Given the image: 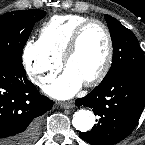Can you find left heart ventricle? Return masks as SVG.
Masks as SVG:
<instances>
[{
    "mask_svg": "<svg viewBox=\"0 0 145 145\" xmlns=\"http://www.w3.org/2000/svg\"><path fill=\"white\" fill-rule=\"evenodd\" d=\"M107 52V38L98 24L89 25L83 32L75 54L67 69L79 76L83 82L98 73Z\"/></svg>",
    "mask_w": 145,
    "mask_h": 145,
    "instance_id": "obj_1",
    "label": "left heart ventricle"
}]
</instances>
